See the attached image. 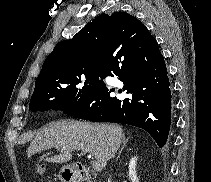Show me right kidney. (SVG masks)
Instances as JSON below:
<instances>
[{"label": "right kidney", "mask_w": 211, "mask_h": 182, "mask_svg": "<svg viewBox=\"0 0 211 182\" xmlns=\"http://www.w3.org/2000/svg\"><path fill=\"white\" fill-rule=\"evenodd\" d=\"M137 157H134L130 160L129 163V178L131 182H139V178L136 173Z\"/></svg>", "instance_id": "obj_1"}]
</instances>
